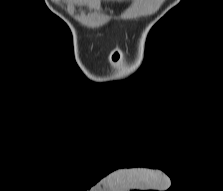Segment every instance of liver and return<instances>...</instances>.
I'll return each mask as SVG.
<instances>
[{
    "label": "liver",
    "mask_w": 223,
    "mask_h": 191,
    "mask_svg": "<svg viewBox=\"0 0 223 191\" xmlns=\"http://www.w3.org/2000/svg\"><path fill=\"white\" fill-rule=\"evenodd\" d=\"M85 2L89 3L90 8L99 9V1L98 0H85Z\"/></svg>",
    "instance_id": "6515ba94"
}]
</instances>
